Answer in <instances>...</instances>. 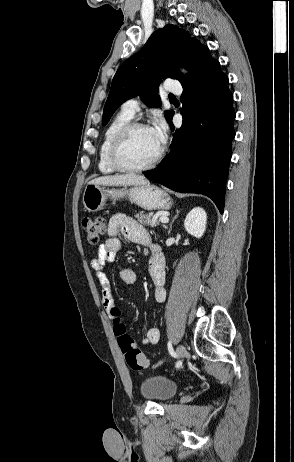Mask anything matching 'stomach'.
I'll return each instance as SVG.
<instances>
[{"label":"stomach","instance_id":"stomach-1","mask_svg":"<svg viewBox=\"0 0 294 462\" xmlns=\"http://www.w3.org/2000/svg\"><path fill=\"white\" fill-rule=\"evenodd\" d=\"M128 196L129 200L145 210H169L172 199L154 185H135L127 188L109 189L102 185L88 184L83 194L84 208L88 212L103 210L109 202Z\"/></svg>","mask_w":294,"mask_h":462}]
</instances>
